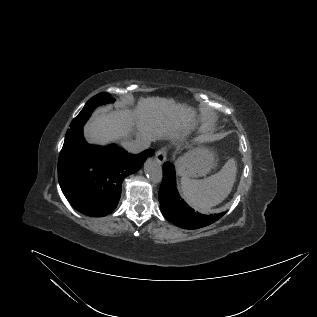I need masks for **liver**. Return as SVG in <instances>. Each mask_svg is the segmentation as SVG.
<instances>
[{
    "instance_id": "1",
    "label": "liver",
    "mask_w": 317,
    "mask_h": 317,
    "mask_svg": "<svg viewBox=\"0 0 317 317\" xmlns=\"http://www.w3.org/2000/svg\"><path fill=\"white\" fill-rule=\"evenodd\" d=\"M195 111L173 99L140 98L134 109H101L84 126L88 142L106 145L132 136L153 139L186 136L195 126Z\"/></svg>"
}]
</instances>
